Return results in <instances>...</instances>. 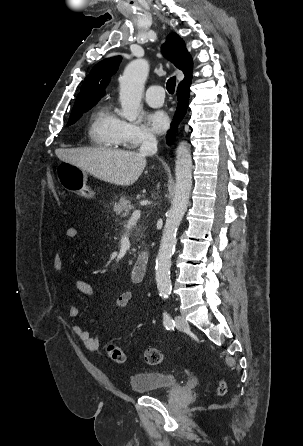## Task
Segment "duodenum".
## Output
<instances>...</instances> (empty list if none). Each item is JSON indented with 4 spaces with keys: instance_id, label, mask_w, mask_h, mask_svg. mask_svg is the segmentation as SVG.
<instances>
[{
    "instance_id": "1",
    "label": "duodenum",
    "mask_w": 303,
    "mask_h": 446,
    "mask_svg": "<svg viewBox=\"0 0 303 446\" xmlns=\"http://www.w3.org/2000/svg\"><path fill=\"white\" fill-rule=\"evenodd\" d=\"M150 255L147 251L141 252L135 260L132 268V276L134 279H142L148 269Z\"/></svg>"
}]
</instances>
